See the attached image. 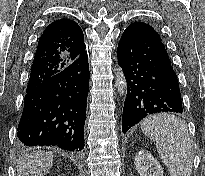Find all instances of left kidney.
Here are the masks:
<instances>
[{
  "mask_svg": "<svg viewBox=\"0 0 205 176\" xmlns=\"http://www.w3.org/2000/svg\"><path fill=\"white\" fill-rule=\"evenodd\" d=\"M134 163L140 176H163L162 166L148 151H139Z\"/></svg>",
  "mask_w": 205,
  "mask_h": 176,
  "instance_id": "1",
  "label": "left kidney"
}]
</instances>
